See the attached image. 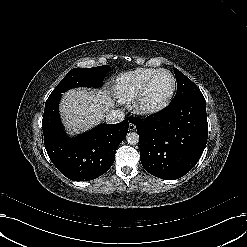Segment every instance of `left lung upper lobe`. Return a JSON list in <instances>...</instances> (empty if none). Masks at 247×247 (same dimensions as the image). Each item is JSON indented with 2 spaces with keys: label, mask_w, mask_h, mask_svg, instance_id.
<instances>
[{
  "label": "left lung upper lobe",
  "mask_w": 247,
  "mask_h": 247,
  "mask_svg": "<svg viewBox=\"0 0 247 247\" xmlns=\"http://www.w3.org/2000/svg\"><path fill=\"white\" fill-rule=\"evenodd\" d=\"M174 72L177 81V92L171 104L201 93L200 89L178 69L175 68Z\"/></svg>",
  "instance_id": "left-lung-upper-lobe-1"
}]
</instances>
